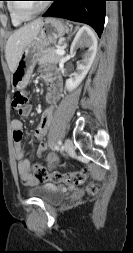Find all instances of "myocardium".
Returning <instances> with one entry per match:
<instances>
[{"mask_svg": "<svg viewBox=\"0 0 133 253\" xmlns=\"http://www.w3.org/2000/svg\"><path fill=\"white\" fill-rule=\"evenodd\" d=\"M16 1V0H13ZM12 9L14 14L16 15L17 18H19L20 20L26 21V20H30L36 16H38L39 14H41L48 6V2H44V4L37 9L35 12L33 13H25L18 5V2H12Z\"/></svg>", "mask_w": 133, "mask_h": 253, "instance_id": "myocardium-1", "label": "myocardium"}]
</instances>
